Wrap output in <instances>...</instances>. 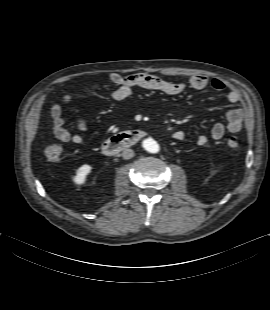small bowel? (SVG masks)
Segmentation results:
<instances>
[{"label":"small bowel","instance_id":"small-bowel-1","mask_svg":"<svg viewBox=\"0 0 270 310\" xmlns=\"http://www.w3.org/2000/svg\"><path fill=\"white\" fill-rule=\"evenodd\" d=\"M108 80L116 87L112 92V98L115 101H123L128 98L134 88H143L147 90H155L167 95H178L182 93L186 85L180 82H170L161 79L155 75L147 73H134L128 75H121L119 73H110L107 76ZM189 85L192 89L202 90L209 85L216 91H224L227 89L226 84L219 80H209L204 75H195L191 77ZM227 99L230 103L236 104L240 102V93L235 89H230L227 92ZM72 100V94L68 93L63 97V103L69 104ZM51 116L53 119V134L56 139L61 142H72L77 145H85L86 140L83 136L77 133H71L65 128V121L63 118L62 106L59 103H55L51 107ZM245 117L244 110L240 108H234L227 112V124L216 123L212 126L210 135L213 139H221L226 131L230 133H238L242 129L243 120ZM75 125L79 130H85L87 128V122L83 118H77ZM173 139L182 141L185 139V133L181 130H176L172 133ZM208 138L206 135H199L197 138V144L203 146L207 143Z\"/></svg>","mask_w":270,"mask_h":310}]
</instances>
